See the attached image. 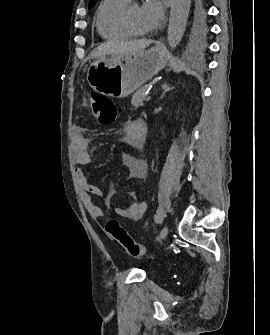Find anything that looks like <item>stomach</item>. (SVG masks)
Segmentation results:
<instances>
[{
    "instance_id": "1",
    "label": "stomach",
    "mask_w": 270,
    "mask_h": 335,
    "mask_svg": "<svg viewBox=\"0 0 270 335\" xmlns=\"http://www.w3.org/2000/svg\"><path fill=\"white\" fill-rule=\"evenodd\" d=\"M166 54L161 46H154L111 60H96L88 68L87 80L103 96L127 98L165 68Z\"/></svg>"
}]
</instances>
